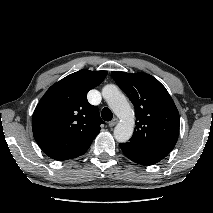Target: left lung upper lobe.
I'll list each match as a JSON object with an SVG mask.
<instances>
[{
  "label": "left lung upper lobe",
  "instance_id": "5c2ea615",
  "mask_svg": "<svg viewBox=\"0 0 213 213\" xmlns=\"http://www.w3.org/2000/svg\"><path fill=\"white\" fill-rule=\"evenodd\" d=\"M135 107L136 127L126 144L149 155L166 157L179 135V113L166 88L146 73L111 72Z\"/></svg>",
  "mask_w": 213,
  "mask_h": 213
}]
</instances>
